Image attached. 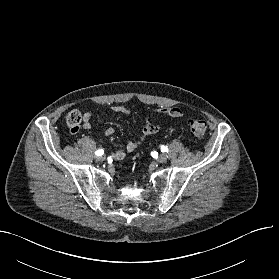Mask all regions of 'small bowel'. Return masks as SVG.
<instances>
[{
	"mask_svg": "<svg viewBox=\"0 0 279 279\" xmlns=\"http://www.w3.org/2000/svg\"><path fill=\"white\" fill-rule=\"evenodd\" d=\"M113 112L116 114H124L127 115L130 113L129 109L125 106H115L113 108ZM155 115H167L170 116L172 118H180L183 116V111L176 106H171V107H162L160 108L158 111H156L155 113H153L150 118L147 120V123L142 127V129L140 130V137L138 140H130L125 148L122 149H118L116 151H114L113 153H111V156L113 157V159L115 160H122L124 159V157L129 154L134 152L143 142L144 140L152 135L155 134L159 131L162 130V126L160 125H156L152 122V118ZM91 118H92V112L91 111H87L84 113L83 115V128L84 129H90L92 126L91 123ZM104 134L106 136H111L114 134V129L112 127H107L104 130Z\"/></svg>",
	"mask_w": 279,
	"mask_h": 279,
	"instance_id": "small-bowel-1",
	"label": "small bowel"
}]
</instances>
